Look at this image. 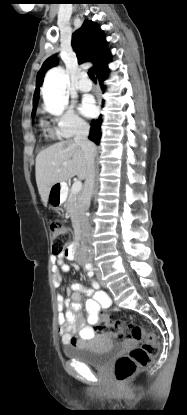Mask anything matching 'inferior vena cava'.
Instances as JSON below:
<instances>
[{"mask_svg": "<svg viewBox=\"0 0 187 415\" xmlns=\"http://www.w3.org/2000/svg\"><path fill=\"white\" fill-rule=\"evenodd\" d=\"M89 130L90 127L87 123H79L74 137V142L82 148L87 160L85 184L78 200V220L81 227V247L77 251L76 256L90 257L92 255V251L89 246L91 239V226L87 212L90 207L95 182V145L88 139Z\"/></svg>", "mask_w": 187, "mask_h": 415, "instance_id": "1", "label": "inferior vena cava"}]
</instances>
